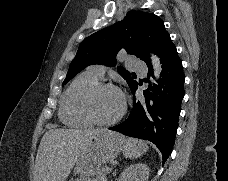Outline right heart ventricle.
I'll return each instance as SVG.
<instances>
[{"instance_id": "obj_1", "label": "right heart ventricle", "mask_w": 228, "mask_h": 181, "mask_svg": "<svg viewBox=\"0 0 228 181\" xmlns=\"http://www.w3.org/2000/svg\"><path fill=\"white\" fill-rule=\"evenodd\" d=\"M101 78L94 75L80 74L68 87L62 100L60 117L62 121L71 125L87 126L92 121L87 117L84 103L88 91L99 82Z\"/></svg>"}]
</instances>
